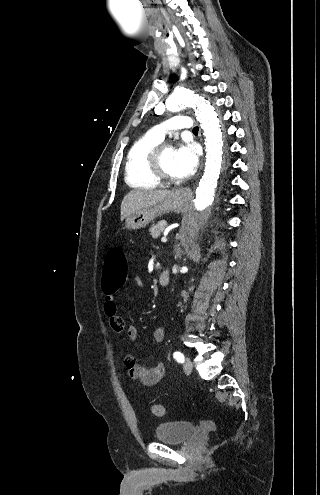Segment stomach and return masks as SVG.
I'll return each instance as SVG.
<instances>
[{
	"label": "stomach",
	"mask_w": 320,
	"mask_h": 495,
	"mask_svg": "<svg viewBox=\"0 0 320 495\" xmlns=\"http://www.w3.org/2000/svg\"><path fill=\"white\" fill-rule=\"evenodd\" d=\"M187 206V201L181 191L171 192L162 201L155 205L135 211L126 217L125 225L129 230H138L146 227L157 217L170 213L181 212Z\"/></svg>",
	"instance_id": "stomach-1"
}]
</instances>
